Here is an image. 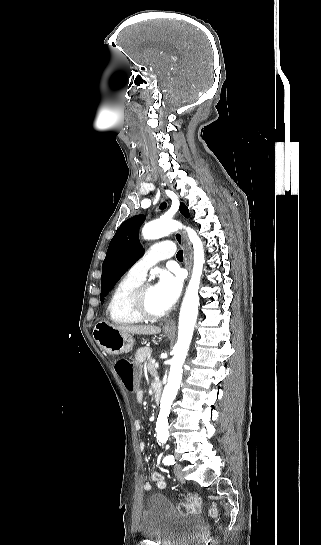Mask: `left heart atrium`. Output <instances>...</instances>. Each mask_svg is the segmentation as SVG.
Masks as SVG:
<instances>
[{"mask_svg": "<svg viewBox=\"0 0 321 545\" xmlns=\"http://www.w3.org/2000/svg\"><path fill=\"white\" fill-rule=\"evenodd\" d=\"M183 279L178 272H169L162 270L157 282L154 286V291L158 302L165 312L172 309L181 295Z\"/></svg>", "mask_w": 321, "mask_h": 545, "instance_id": "1", "label": "left heart atrium"}]
</instances>
